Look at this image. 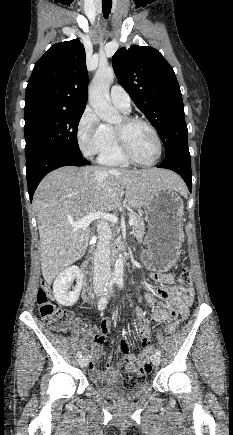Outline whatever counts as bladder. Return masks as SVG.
Segmentation results:
<instances>
[{"label": "bladder", "instance_id": "bladder-1", "mask_svg": "<svg viewBox=\"0 0 233 435\" xmlns=\"http://www.w3.org/2000/svg\"><path fill=\"white\" fill-rule=\"evenodd\" d=\"M149 388L147 383H139L126 390L120 383L105 382L98 384L97 390L112 400H129L140 396Z\"/></svg>", "mask_w": 233, "mask_h": 435}]
</instances>
